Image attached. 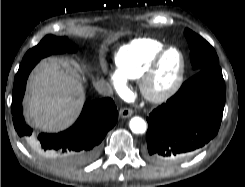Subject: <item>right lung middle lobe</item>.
Returning a JSON list of instances; mask_svg holds the SVG:
<instances>
[{"label": "right lung middle lobe", "mask_w": 245, "mask_h": 187, "mask_svg": "<svg viewBox=\"0 0 245 187\" xmlns=\"http://www.w3.org/2000/svg\"><path fill=\"white\" fill-rule=\"evenodd\" d=\"M66 50L75 52L76 46L68 42L66 37L57 38L53 35H47L37 46L33 47L25 54L22 61L35 58L41 59L52 53H64Z\"/></svg>", "instance_id": "1"}]
</instances>
